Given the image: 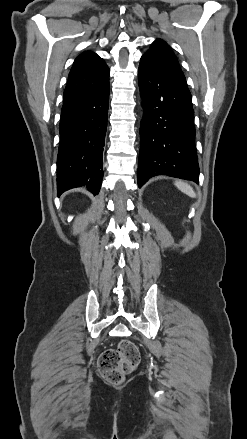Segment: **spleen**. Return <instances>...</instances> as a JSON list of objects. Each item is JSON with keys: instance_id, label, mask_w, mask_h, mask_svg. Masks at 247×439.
Segmentation results:
<instances>
[{"instance_id": "spleen-1", "label": "spleen", "mask_w": 247, "mask_h": 439, "mask_svg": "<svg viewBox=\"0 0 247 439\" xmlns=\"http://www.w3.org/2000/svg\"><path fill=\"white\" fill-rule=\"evenodd\" d=\"M175 186L184 194H186L192 198L196 197V194H195L193 188L190 185H188L187 183L181 182V181H176Z\"/></svg>"}]
</instances>
